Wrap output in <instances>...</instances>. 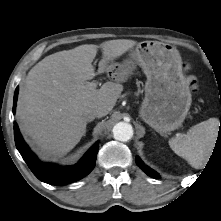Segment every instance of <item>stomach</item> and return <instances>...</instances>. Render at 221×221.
I'll use <instances>...</instances> for the list:
<instances>
[{
    "mask_svg": "<svg viewBox=\"0 0 221 221\" xmlns=\"http://www.w3.org/2000/svg\"><path fill=\"white\" fill-rule=\"evenodd\" d=\"M139 65L147 77L145 98L139 114L160 134L181 126L192 98L182 72V59L175 46L159 41H143L131 52L130 59L112 63L108 72L116 81H125Z\"/></svg>",
    "mask_w": 221,
    "mask_h": 221,
    "instance_id": "stomach-1",
    "label": "stomach"
}]
</instances>
